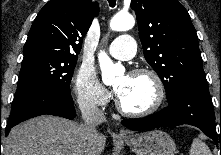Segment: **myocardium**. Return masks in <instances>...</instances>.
<instances>
[{"mask_svg": "<svg viewBox=\"0 0 221 155\" xmlns=\"http://www.w3.org/2000/svg\"><path fill=\"white\" fill-rule=\"evenodd\" d=\"M129 75L149 76L155 84L156 97H155L153 104L150 107L141 111H131V110L126 109L123 106L119 97L117 96L115 103H116V107L118 111L121 114L125 116H129V117H146V116L152 115L161 107L165 98V88H164V84H163L161 77L154 70L150 68H146V67L136 68L130 71Z\"/></svg>", "mask_w": 221, "mask_h": 155, "instance_id": "obj_1", "label": "myocardium"}]
</instances>
